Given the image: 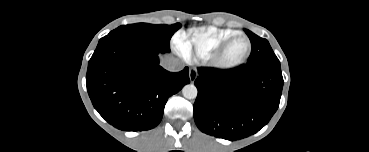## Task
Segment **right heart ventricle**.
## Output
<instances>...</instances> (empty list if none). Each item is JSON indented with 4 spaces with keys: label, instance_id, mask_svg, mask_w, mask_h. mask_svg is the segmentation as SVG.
Segmentation results:
<instances>
[{
    "label": "right heart ventricle",
    "instance_id": "e07e8e85",
    "mask_svg": "<svg viewBox=\"0 0 369 152\" xmlns=\"http://www.w3.org/2000/svg\"><path fill=\"white\" fill-rule=\"evenodd\" d=\"M238 33L232 29L204 26L179 35L177 44L184 57L207 60L223 41Z\"/></svg>",
    "mask_w": 369,
    "mask_h": 152
}]
</instances>
